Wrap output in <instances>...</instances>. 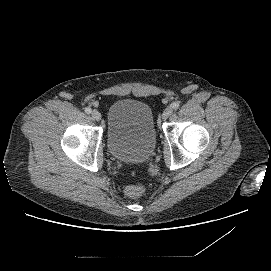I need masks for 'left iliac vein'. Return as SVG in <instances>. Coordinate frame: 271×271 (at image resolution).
I'll return each mask as SVG.
<instances>
[{
  "instance_id": "obj_1",
  "label": "left iliac vein",
  "mask_w": 271,
  "mask_h": 271,
  "mask_svg": "<svg viewBox=\"0 0 271 271\" xmlns=\"http://www.w3.org/2000/svg\"><path fill=\"white\" fill-rule=\"evenodd\" d=\"M173 112V108L171 106L167 107L162 113V119H167Z\"/></svg>"
}]
</instances>
